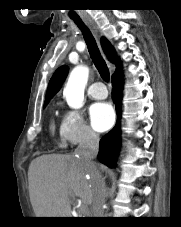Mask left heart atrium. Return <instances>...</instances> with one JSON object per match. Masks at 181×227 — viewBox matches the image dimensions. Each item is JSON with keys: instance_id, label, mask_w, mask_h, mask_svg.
I'll list each match as a JSON object with an SVG mask.
<instances>
[{"instance_id": "1", "label": "left heart atrium", "mask_w": 181, "mask_h": 227, "mask_svg": "<svg viewBox=\"0 0 181 227\" xmlns=\"http://www.w3.org/2000/svg\"><path fill=\"white\" fill-rule=\"evenodd\" d=\"M90 121L97 131L108 130L114 123L115 115L109 103H95L89 110Z\"/></svg>"}]
</instances>
